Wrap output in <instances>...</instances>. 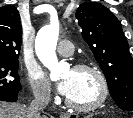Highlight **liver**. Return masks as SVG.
<instances>
[{"instance_id":"obj_1","label":"liver","mask_w":133,"mask_h":118,"mask_svg":"<svg viewBox=\"0 0 133 118\" xmlns=\"http://www.w3.org/2000/svg\"><path fill=\"white\" fill-rule=\"evenodd\" d=\"M28 108L19 103L0 101V118H27Z\"/></svg>"}]
</instances>
